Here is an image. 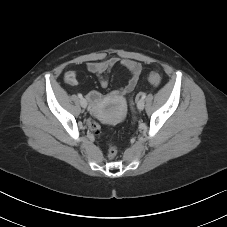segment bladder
Instances as JSON below:
<instances>
[{
    "label": "bladder",
    "mask_w": 227,
    "mask_h": 227,
    "mask_svg": "<svg viewBox=\"0 0 227 227\" xmlns=\"http://www.w3.org/2000/svg\"><path fill=\"white\" fill-rule=\"evenodd\" d=\"M104 118H105V120H106L107 122H109V123H114V122L117 120L116 117L111 116V115H106V116H104Z\"/></svg>",
    "instance_id": "bladder-1"
}]
</instances>
